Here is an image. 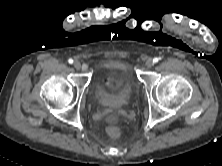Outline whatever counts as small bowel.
Listing matches in <instances>:
<instances>
[{"mask_svg": "<svg viewBox=\"0 0 222 166\" xmlns=\"http://www.w3.org/2000/svg\"><path fill=\"white\" fill-rule=\"evenodd\" d=\"M106 85L112 87V88H116L118 87L119 83L117 81H109V80H105Z\"/></svg>", "mask_w": 222, "mask_h": 166, "instance_id": "small-bowel-1", "label": "small bowel"}]
</instances>
